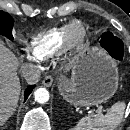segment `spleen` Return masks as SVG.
Returning a JSON list of instances; mask_svg holds the SVG:
<instances>
[{"label": "spleen", "instance_id": "spleen-1", "mask_svg": "<svg viewBox=\"0 0 130 130\" xmlns=\"http://www.w3.org/2000/svg\"><path fill=\"white\" fill-rule=\"evenodd\" d=\"M126 104L117 102L111 106L106 115L95 114L83 117L78 124L70 130H114L120 123Z\"/></svg>", "mask_w": 130, "mask_h": 130}]
</instances>
